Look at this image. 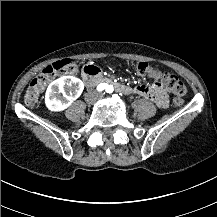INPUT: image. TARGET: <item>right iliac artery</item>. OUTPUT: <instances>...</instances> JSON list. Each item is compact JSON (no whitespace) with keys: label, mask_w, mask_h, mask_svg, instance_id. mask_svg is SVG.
<instances>
[{"label":"right iliac artery","mask_w":217,"mask_h":217,"mask_svg":"<svg viewBox=\"0 0 217 217\" xmlns=\"http://www.w3.org/2000/svg\"><path fill=\"white\" fill-rule=\"evenodd\" d=\"M105 89V87L103 86V87H101L100 85H98V87H97V90L98 91H102V90H104Z\"/></svg>","instance_id":"82829eb1"}]
</instances>
